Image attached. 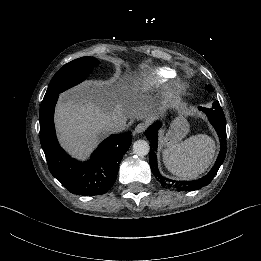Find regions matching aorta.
Listing matches in <instances>:
<instances>
[{"label": "aorta", "mask_w": 261, "mask_h": 261, "mask_svg": "<svg viewBox=\"0 0 261 261\" xmlns=\"http://www.w3.org/2000/svg\"><path fill=\"white\" fill-rule=\"evenodd\" d=\"M150 146L145 140H137L133 144V153L139 157L149 154Z\"/></svg>", "instance_id": "1"}]
</instances>
